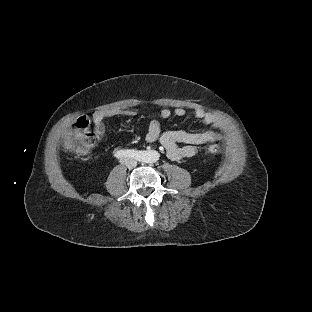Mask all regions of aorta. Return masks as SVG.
I'll use <instances>...</instances> for the list:
<instances>
[{
    "label": "aorta",
    "mask_w": 312,
    "mask_h": 312,
    "mask_svg": "<svg viewBox=\"0 0 312 312\" xmlns=\"http://www.w3.org/2000/svg\"><path fill=\"white\" fill-rule=\"evenodd\" d=\"M159 158V153L157 151H152L151 155L149 156V162H156Z\"/></svg>",
    "instance_id": "762f6f07"
}]
</instances>
